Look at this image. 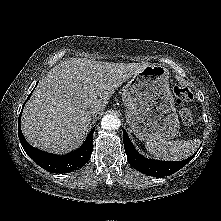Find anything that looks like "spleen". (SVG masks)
<instances>
[{
	"mask_svg": "<svg viewBox=\"0 0 221 221\" xmlns=\"http://www.w3.org/2000/svg\"><path fill=\"white\" fill-rule=\"evenodd\" d=\"M200 140L146 142L147 151L165 161H180L191 156L199 147Z\"/></svg>",
	"mask_w": 221,
	"mask_h": 221,
	"instance_id": "spleen-1",
	"label": "spleen"
}]
</instances>
